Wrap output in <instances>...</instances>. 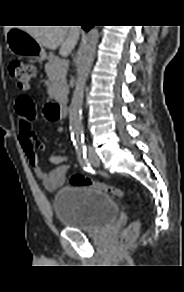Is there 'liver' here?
<instances>
[{"mask_svg":"<svg viewBox=\"0 0 184 292\" xmlns=\"http://www.w3.org/2000/svg\"><path fill=\"white\" fill-rule=\"evenodd\" d=\"M10 28H7L6 33ZM20 29L29 33L45 48L55 50L60 47L59 53L62 56H68L79 39L78 26H24Z\"/></svg>","mask_w":184,"mask_h":292,"instance_id":"obj_1","label":"liver"}]
</instances>
